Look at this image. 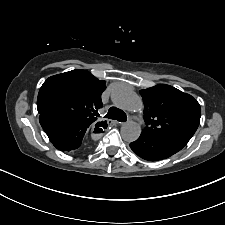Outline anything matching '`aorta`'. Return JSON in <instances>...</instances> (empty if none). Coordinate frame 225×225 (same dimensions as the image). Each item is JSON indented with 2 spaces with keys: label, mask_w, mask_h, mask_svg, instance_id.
I'll list each match as a JSON object with an SVG mask.
<instances>
[{
  "label": "aorta",
  "mask_w": 225,
  "mask_h": 225,
  "mask_svg": "<svg viewBox=\"0 0 225 225\" xmlns=\"http://www.w3.org/2000/svg\"><path fill=\"white\" fill-rule=\"evenodd\" d=\"M112 101L115 106L135 112L143 108L141 98L132 90L125 87H117L112 92ZM141 134V126L134 122L128 121L121 127V136L126 142H133L139 138Z\"/></svg>",
  "instance_id": "obj_1"
}]
</instances>
